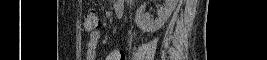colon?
I'll return each instance as SVG.
<instances>
[{
	"mask_svg": "<svg viewBox=\"0 0 267 60\" xmlns=\"http://www.w3.org/2000/svg\"><path fill=\"white\" fill-rule=\"evenodd\" d=\"M85 27L88 31H95L100 25V18L96 11L90 10L84 15Z\"/></svg>",
	"mask_w": 267,
	"mask_h": 60,
	"instance_id": "colon-1",
	"label": "colon"
}]
</instances>
